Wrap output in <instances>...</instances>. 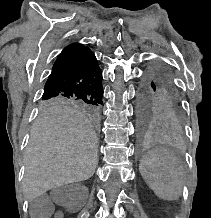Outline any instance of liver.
<instances>
[{
    "mask_svg": "<svg viewBox=\"0 0 211 218\" xmlns=\"http://www.w3.org/2000/svg\"><path fill=\"white\" fill-rule=\"evenodd\" d=\"M96 134L73 108L44 110L30 134L23 192L28 200L64 184L88 180L98 164Z\"/></svg>",
    "mask_w": 211,
    "mask_h": 218,
    "instance_id": "obj_1",
    "label": "liver"
}]
</instances>
